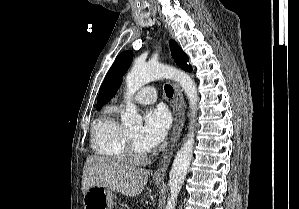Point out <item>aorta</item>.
I'll return each instance as SVG.
<instances>
[{
	"label": "aorta",
	"instance_id": "aorta-1",
	"mask_svg": "<svg viewBox=\"0 0 299 209\" xmlns=\"http://www.w3.org/2000/svg\"><path fill=\"white\" fill-rule=\"evenodd\" d=\"M172 79L177 81L186 94L193 117L196 115L198 93L194 80L187 73L171 66L160 63L136 62L126 77V111L121 120L125 126H141L142 117L131 103L132 95L145 84L157 79ZM194 131L188 133L186 140L178 150L171 171L169 173L168 187L170 196L165 209H175L178 194L188 172L194 149Z\"/></svg>",
	"mask_w": 299,
	"mask_h": 209
}]
</instances>
